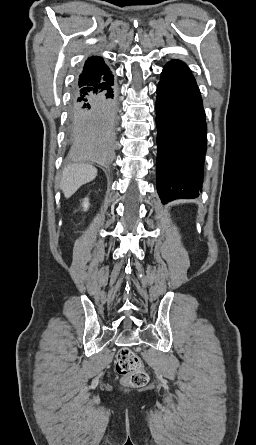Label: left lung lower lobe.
Masks as SVG:
<instances>
[{"label":"left lung lower lobe","instance_id":"1","mask_svg":"<svg viewBox=\"0 0 256 445\" xmlns=\"http://www.w3.org/2000/svg\"><path fill=\"white\" fill-rule=\"evenodd\" d=\"M157 191L163 204L195 198L203 182L206 123L190 70L168 63L156 99Z\"/></svg>","mask_w":256,"mask_h":445}]
</instances>
